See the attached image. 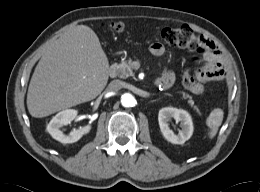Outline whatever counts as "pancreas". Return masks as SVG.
<instances>
[{
	"label": "pancreas",
	"mask_w": 260,
	"mask_h": 192,
	"mask_svg": "<svg viewBox=\"0 0 260 192\" xmlns=\"http://www.w3.org/2000/svg\"><path fill=\"white\" fill-rule=\"evenodd\" d=\"M131 62H132L131 59L128 61L123 60V61H121V63L115 65L116 75L119 78L126 79L129 76L134 75L132 68H131ZM182 95H183L184 99H188L189 105L191 107H193V109L196 110V112L198 114H200L199 109L197 108V106L194 105V101L191 99V97L188 94H186L185 92H182Z\"/></svg>",
	"instance_id": "cf45deb5"
}]
</instances>
